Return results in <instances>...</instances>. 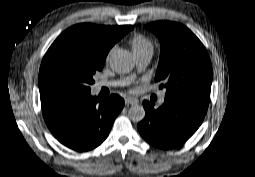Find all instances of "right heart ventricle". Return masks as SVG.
<instances>
[{
  "label": "right heart ventricle",
  "mask_w": 255,
  "mask_h": 177,
  "mask_svg": "<svg viewBox=\"0 0 255 177\" xmlns=\"http://www.w3.org/2000/svg\"><path fill=\"white\" fill-rule=\"evenodd\" d=\"M129 44L135 57L145 52L152 53L154 48L152 41L142 34L134 35Z\"/></svg>",
  "instance_id": "right-heart-ventricle-1"
}]
</instances>
